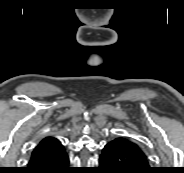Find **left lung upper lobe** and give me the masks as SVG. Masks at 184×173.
Returning <instances> with one entry per match:
<instances>
[{
    "instance_id": "obj_1",
    "label": "left lung upper lobe",
    "mask_w": 184,
    "mask_h": 173,
    "mask_svg": "<svg viewBox=\"0 0 184 173\" xmlns=\"http://www.w3.org/2000/svg\"><path fill=\"white\" fill-rule=\"evenodd\" d=\"M131 145L133 147V149L145 160L148 162L147 156L144 153V151L142 150V148L135 142L131 141Z\"/></svg>"
}]
</instances>
